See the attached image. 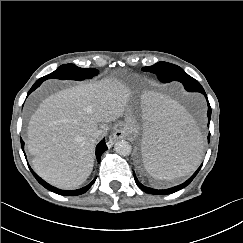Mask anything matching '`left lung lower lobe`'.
<instances>
[{
    "instance_id": "0a47b994",
    "label": "left lung lower lobe",
    "mask_w": 243,
    "mask_h": 243,
    "mask_svg": "<svg viewBox=\"0 0 243 243\" xmlns=\"http://www.w3.org/2000/svg\"><path fill=\"white\" fill-rule=\"evenodd\" d=\"M185 89L189 92H200L202 94H204V96L206 97L207 99V96H206V93L203 89V87L200 85V83H193V84H185L184 85ZM208 101V99H207ZM208 119H209V122H210V118H211V107H210V104L208 102ZM208 126H209V123H208ZM210 140V134L208 135V142ZM202 166V165H201ZM201 166L197 169V171L187 180L185 181L183 184H180L178 186H175V187H172V188H169V189H164V190H157V189H152V188H149V187H146L144 185H142L138 179L136 178L135 176V173L134 174V179H135V182L136 184L138 185V187L143 190L144 192L146 193H149V194H156V195H167V194H171V193H174L176 191H179L181 189H183L184 187H186L187 185H189L191 183V181L194 179V177L197 175V173L199 172V170L201 169Z\"/></svg>"
}]
</instances>
